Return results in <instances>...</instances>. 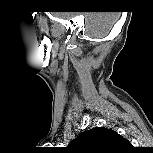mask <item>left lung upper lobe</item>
<instances>
[{"label": "left lung upper lobe", "instance_id": "5c2ea615", "mask_svg": "<svg viewBox=\"0 0 153 153\" xmlns=\"http://www.w3.org/2000/svg\"><path fill=\"white\" fill-rule=\"evenodd\" d=\"M129 146V141L117 132L104 127H95L82 132L68 147L79 153H114Z\"/></svg>", "mask_w": 153, "mask_h": 153}]
</instances>
